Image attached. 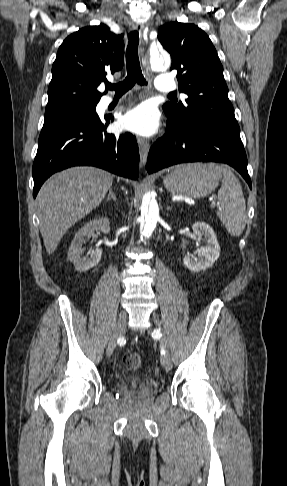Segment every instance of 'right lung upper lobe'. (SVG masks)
Here are the masks:
<instances>
[{
  "label": "right lung upper lobe",
  "instance_id": "1",
  "mask_svg": "<svg viewBox=\"0 0 287 486\" xmlns=\"http://www.w3.org/2000/svg\"><path fill=\"white\" fill-rule=\"evenodd\" d=\"M124 64L123 34L108 26H89L68 36L58 49L52 66L46 108L79 102H99L97 87L107 72L121 70Z\"/></svg>",
  "mask_w": 287,
  "mask_h": 486
}]
</instances>
